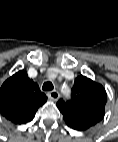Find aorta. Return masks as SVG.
Here are the masks:
<instances>
[{
    "instance_id": "762f6f07",
    "label": "aorta",
    "mask_w": 118,
    "mask_h": 142,
    "mask_svg": "<svg viewBox=\"0 0 118 142\" xmlns=\"http://www.w3.org/2000/svg\"><path fill=\"white\" fill-rule=\"evenodd\" d=\"M64 94H66V95H69V94H70V89H69V87H67V88L64 90Z\"/></svg>"
}]
</instances>
